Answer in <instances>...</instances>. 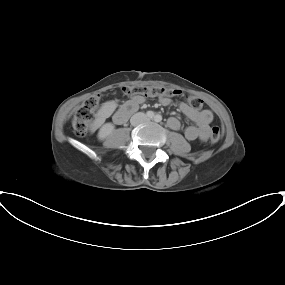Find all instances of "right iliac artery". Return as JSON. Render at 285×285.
I'll list each match as a JSON object with an SVG mask.
<instances>
[{"label":"right iliac artery","mask_w":285,"mask_h":285,"mask_svg":"<svg viewBox=\"0 0 285 285\" xmlns=\"http://www.w3.org/2000/svg\"><path fill=\"white\" fill-rule=\"evenodd\" d=\"M146 115H147V117L152 119L154 117V112L153 111H147Z\"/></svg>","instance_id":"right-iliac-artery-1"}]
</instances>
